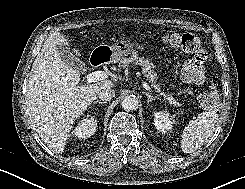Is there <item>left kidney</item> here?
Here are the masks:
<instances>
[{
  "instance_id": "5707ae66",
  "label": "left kidney",
  "mask_w": 245,
  "mask_h": 189,
  "mask_svg": "<svg viewBox=\"0 0 245 189\" xmlns=\"http://www.w3.org/2000/svg\"><path fill=\"white\" fill-rule=\"evenodd\" d=\"M173 123L174 121L169 113L160 111L154 114V125L160 132L166 133L170 131Z\"/></svg>"
}]
</instances>
